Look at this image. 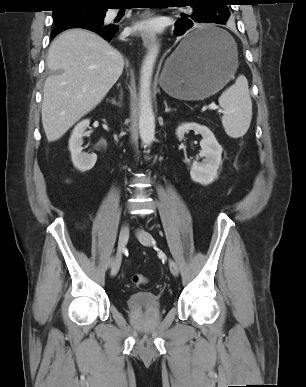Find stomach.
Listing matches in <instances>:
<instances>
[{
	"label": "stomach",
	"mask_w": 306,
	"mask_h": 387,
	"mask_svg": "<svg viewBox=\"0 0 306 387\" xmlns=\"http://www.w3.org/2000/svg\"><path fill=\"white\" fill-rule=\"evenodd\" d=\"M214 30L220 38L210 46L184 53L183 44L166 60L160 85L170 96L203 100L219 91L238 67L237 47L230 35L216 26H201L192 32Z\"/></svg>",
	"instance_id": "1"
}]
</instances>
